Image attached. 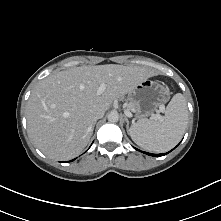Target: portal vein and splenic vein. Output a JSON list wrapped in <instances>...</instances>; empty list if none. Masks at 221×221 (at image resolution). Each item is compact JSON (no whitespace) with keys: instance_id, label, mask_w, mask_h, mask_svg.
<instances>
[{"instance_id":"obj_1","label":"portal vein and splenic vein","mask_w":221,"mask_h":221,"mask_svg":"<svg viewBox=\"0 0 221 221\" xmlns=\"http://www.w3.org/2000/svg\"><path fill=\"white\" fill-rule=\"evenodd\" d=\"M105 90H106V85H105L104 83H102V84L99 86L98 90H97V94H98V95H101ZM124 112H125V115H126V116H128V117L131 116V113L129 112V110L125 109ZM152 118L161 120V119H162V116H161L160 114H154V115L152 116Z\"/></svg>"}]
</instances>
